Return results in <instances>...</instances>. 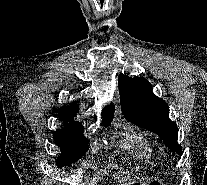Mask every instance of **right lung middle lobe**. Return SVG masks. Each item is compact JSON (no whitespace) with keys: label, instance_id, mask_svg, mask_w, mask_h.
I'll return each mask as SVG.
<instances>
[{"label":"right lung middle lobe","instance_id":"dd1d6c3e","mask_svg":"<svg viewBox=\"0 0 207 185\" xmlns=\"http://www.w3.org/2000/svg\"><path fill=\"white\" fill-rule=\"evenodd\" d=\"M83 128L65 126L54 133L53 138L62 152L56 164L59 167L70 165L88 151V140L83 136Z\"/></svg>","mask_w":207,"mask_h":185}]
</instances>
